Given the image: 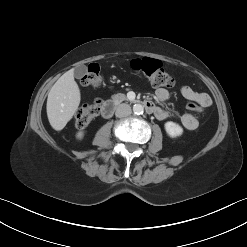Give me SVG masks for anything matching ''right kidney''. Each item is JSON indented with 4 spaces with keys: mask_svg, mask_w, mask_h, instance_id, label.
Here are the masks:
<instances>
[{
    "mask_svg": "<svg viewBox=\"0 0 247 247\" xmlns=\"http://www.w3.org/2000/svg\"><path fill=\"white\" fill-rule=\"evenodd\" d=\"M84 137V132L80 131L76 134V138L81 140Z\"/></svg>",
    "mask_w": 247,
    "mask_h": 247,
    "instance_id": "obj_1",
    "label": "right kidney"
}]
</instances>
